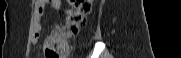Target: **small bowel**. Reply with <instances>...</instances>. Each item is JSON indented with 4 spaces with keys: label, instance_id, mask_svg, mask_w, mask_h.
Returning <instances> with one entry per match:
<instances>
[{
    "label": "small bowel",
    "instance_id": "1",
    "mask_svg": "<svg viewBox=\"0 0 181 58\" xmlns=\"http://www.w3.org/2000/svg\"><path fill=\"white\" fill-rule=\"evenodd\" d=\"M47 6L52 10H58L61 7V0H36L35 1V4H34L35 24H34V37H33L34 42H37L39 39L40 31H41L40 19L43 16ZM55 35H56V32H52L48 36V38L54 37Z\"/></svg>",
    "mask_w": 181,
    "mask_h": 58
}]
</instances>
